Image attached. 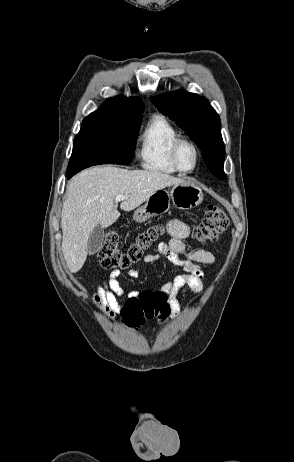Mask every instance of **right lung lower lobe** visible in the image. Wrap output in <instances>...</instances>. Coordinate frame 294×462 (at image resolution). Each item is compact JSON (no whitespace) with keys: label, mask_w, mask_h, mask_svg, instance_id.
Here are the masks:
<instances>
[{"label":"right lung lower lobe","mask_w":294,"mask_h":462,"mask_svg":"<svg viewBox=\"0 0 294 462\" xmlns=\"http://www.w3.org/2000/svg\"><path fill=\"white\" fill-rule=\"evenodd\" d=\"M74 174L67 175V178L70 179Z\"/></svg>","instance_id":"98d812e1"}]
</instances>
